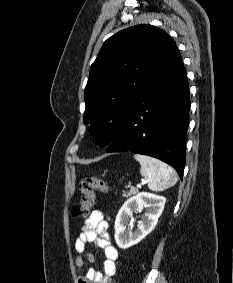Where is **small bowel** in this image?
Listing matches in <instances>:
<instances>
[{"label":"small bowel","mask_w":233,"mask_h":283,"mask_svg":"<svg viewBox=\"0 0 233 283\" xmlns=\"http://www.w3.org/2000/svg\"><path fill=\"white\" fill-rule=\"evenodd\" d=\"M88 244H93L103 250L105 255L103 272L90 268L85 274L79 276V283H112L119 254L110 241L108 223L100 210H93L88 215L84 221L82 232L75 241V250L78 253L75 262L79 270H82L85 259L93 261V256L87 251Z\"/></svg>","instance_id":"1"}]
</instances>
